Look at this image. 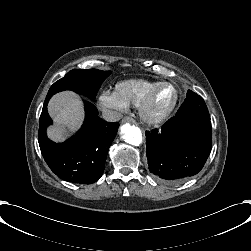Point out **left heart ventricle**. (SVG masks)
I'll list each match as a JSON object with an SVG mask.
<instances>
[{"label": "left heart ventricle", "mask_w": 251, "mask_h": 251, "mask_svg": "<svg viewBox=\"0 0 251 251\" xmlns=\"http://www.w3.org/2000/svg\"><path fill=\"white\" fill-rule=\"evenodd\" d=\"M178 94L176 87L172 83H165L159 87L151 104V112L158 114L171 108Z\"/></svg>", "instance_id": "left-heart-ventricle-1"}]
</instances>
